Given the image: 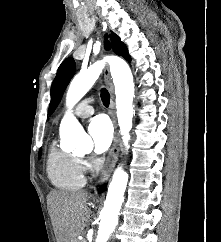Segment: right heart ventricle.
<instances>
[{
    "label": "right heart ventricle",
    "mask_w": 221,
    "mask_h": 242,
    "mask_svg": "<svg viewBox=\"0 0 221 242\" xmlns=\"http://www.w3.org/2000/svg\"><path fill=\"white\" fill-rule=\"evenodd\" d=\"M46 173L51 184L61 190H73L85 184L80 158L57 147L53 141L48 149Z\"/></svg>",
    "instance_id": "1"
}]
</instances>
